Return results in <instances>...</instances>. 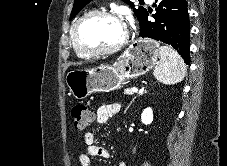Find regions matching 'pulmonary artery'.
Instances as JSON below:
<instances>
[{
  "mask_svg": "<svg viewBox=\"0 0 227 166\" xmlns=\"http://www.w3.org/2000/svg\"><path fill=\"white\" fill-rule=\"evenodd\" d=\"M145 1H147L148 3H152L153 0H145Z\"/></svg>",
  "mask_w": 227,
  "mask_h": 166,
  "instance_id": "e3ab8cb5",
  "label": "pulmonary artery"
}]
</instances>
